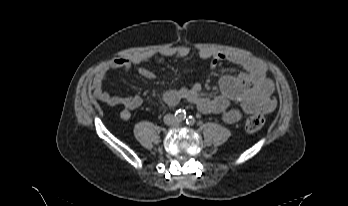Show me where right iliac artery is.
<instances>
[{
  "label": "right iliac artery",
  "mask_w": 348,
  "mask_h": 206,
  "mask_svg": "<svg viewBox=\"0 0 348 206\" xmlns=\"http://www.w3.org/2000/svg\"><path fill=\"white\" fill-rule=\"evenodd\" d=\"M176 115H177V119L179 120V121H182V120H185V118H186V112H185V110H178V112H176Z\"/></svg>",
  "instance_id": "82829eb1"
}]
</instances>
